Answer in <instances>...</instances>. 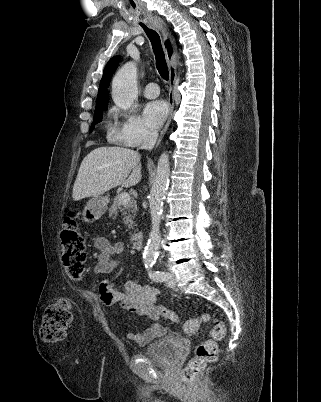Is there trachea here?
<instances>
[{
    "label": "trachea",
    "instance_id": "3493384b",
    "mask_svg": "<svg viewBox=\"0 0 321 402\" xmlns=\"http://www.w3.org/2000/svg\"><path fill=\"white\" fill-rule=\"evenodd\" d=\"M140 26L144 29L146 35L148 36V38L151 42L153 52L155 54L156 67H157V70H158L160 76L164 80L168 81L169 80V71H168L165 55H164V52L162 49L159 34L155 30L148 28L144 24H140Z\"/></svg>",
    "mask_w": 321,
    "mask_h": 402
}]
</instances>
